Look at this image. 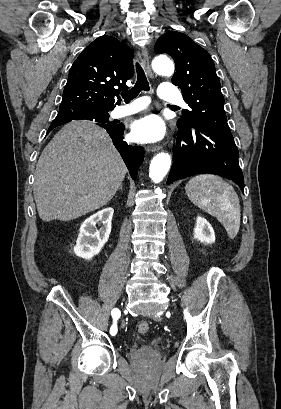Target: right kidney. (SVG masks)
<instances>
[{
    "instance_id": "1",
    "label": "right kidney",
    "mask_w": 281,
    "mask_h": 409,
    "mask_svg": "<svg viewBox=\"0 0 281 409\" xmlns=\"http://www.w3.org/2000/svg\"><path fill=\"white\" fill-rule=\"evenodd\" d=\"M114 209L106 207L91 215L80 227V233L74 247V253L82 259H92L100 253L103 245L107 243L111 233V221ZM97 223H101V229H97Z\"/></svg>"
}]
</instances>
